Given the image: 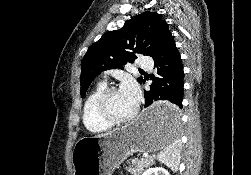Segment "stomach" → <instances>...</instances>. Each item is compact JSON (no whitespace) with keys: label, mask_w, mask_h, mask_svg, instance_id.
<instances>
[{"label":"stomach","mask_w":251,"mask_h":175,"mask_svg":"<svg viewBox=\"0 0 251 175\" xmlns=\"http://www.w3.org/2000/svg\"><path fill=\"white\" fill-rule=\"evenodd\" d=\"M178 106L156 105L144 109L130 125L119 127L107 135H84L78 139L72 151L74 175H112L115 167L128 155L139 151V154H152L165 147L167 141H177L178 123L181 114H169L178 111Z\"/></svg>","instance_id":"obj_1"}]
</instances>
